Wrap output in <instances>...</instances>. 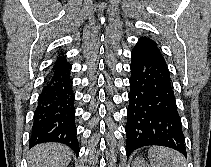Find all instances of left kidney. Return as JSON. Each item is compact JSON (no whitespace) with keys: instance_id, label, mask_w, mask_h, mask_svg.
I'll return each instance as SVG.
<instances>
[{"instance_id":"obj_1","label":"left kidney","mask_w":211,"mask_h":167,"mask_svg":"<svg viewBox=\"0 0 211 167\" xmlns=\"http://www.w3.org/2000/svg\"><path fill=\"white\" fill-rule=\"evenodd\" d=\"M132 167H150V166L145 162V160L142 157L138 156L134 160Z\"/></svg>"}]
</instances>
